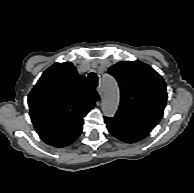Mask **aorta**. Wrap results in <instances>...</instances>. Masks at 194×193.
<instances>
[{"label": "aorta", "mask_w": 194, "mask_h": 193, "mask_svg": "<svg viewBox=\"0 0 194 193\" xmlns=\"http://www.w3.org/2000/svg\"><path fill=\"white\" fill-rule=\"evenodd\" d=\"M103 88L102 111L104 115L112 117L115 115L119 104V88L116 80L109 74L102 75Z\"/></svg>", "instance_id": "762f6f07"}]
</instances>
